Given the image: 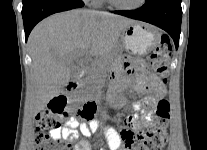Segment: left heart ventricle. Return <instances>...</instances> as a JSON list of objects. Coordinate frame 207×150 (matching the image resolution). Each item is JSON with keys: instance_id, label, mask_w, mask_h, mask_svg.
<instances>
[{"instance_id": "1", "label": "left heart ventricle", "mask_w": 207, "mask_h": 150, "mask_svg": "<svg viewBox=\"0 0 207 150\" xmlns=\"http://www.w3.org/2000/svg\"><path fill=\"white\" fill-rule=\"evenodd\" d=\"M140 0H116L117 3L123 6H134L139 3Z\"/></svg>"}]
</instances>
